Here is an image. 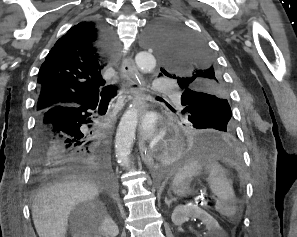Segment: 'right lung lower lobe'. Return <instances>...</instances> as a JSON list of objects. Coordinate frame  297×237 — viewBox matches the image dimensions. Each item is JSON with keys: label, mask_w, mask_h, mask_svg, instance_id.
Instances as JSON below:
<instances>
[{"label": "right lung lower lobe", "mask_w": 297, "mask_h": 237, "mask_svg": "<svg viewBox=\"0 0 297 237\" xmlns=\"http://www.w3.org/2000/svg\"><path fill=\"white\" fill-rule=\"evenodd\" d=\"M102 32L104 37L109 36L103 26ZM98 100L79 106H55L37 113L33 148L35 182L80 173L104 178L112 175L105 139L90 138L82 128L92 122L88 110H95Z\"/></svg>", "instance_id": "98d812e1"}]
</instances>
